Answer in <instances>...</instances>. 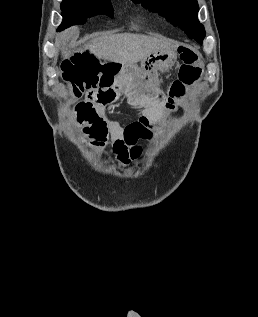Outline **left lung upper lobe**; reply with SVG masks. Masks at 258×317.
<instances>
[{
  "instance_id": "5c2ea615",
  "label": "left lung upper lobe",
  "mask_w": 258,
  "mask_h": 317,
  "mask_svg": "<svg viewBox=\"0 0 258 317\" xmlns=\"http://www.w3.org/2000/svg\"><path fill=\"white\" fill-rule=\"evenodd\" d=\"M135 3H142L143 6L161 15L174 25L179 26L196 41H203L205 30L197 19L198 4L197 0H133Z\"/></svg>"
}]
</instances>
